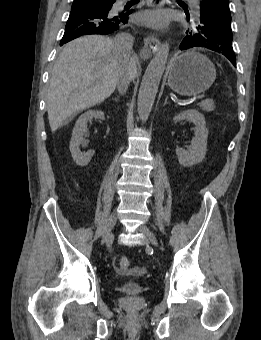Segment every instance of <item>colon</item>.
Returning a JSON list of instances; mask_svg holds the SVG:
<instances>
[{
    "label": "colon",
    "mask_w": 261,
    "mask_h": 340,
    "mask_svg": "<svg viewBox=\"0 0 261 340\" xmlns=\"http://www.w3.org/2000/svg\"><path fill=\"white\" fill-rule=\"evenodd\" d=\"M113 267L117 272H125L130 267V260L127 257H120L114 261Z\"/></svg>",
    "instance_id": "1"
}]
</instances>
